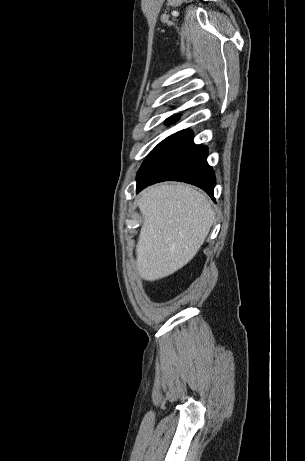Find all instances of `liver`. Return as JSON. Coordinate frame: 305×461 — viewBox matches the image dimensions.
Listing matches in <instances>:
<instances>
[{
  "instance_id": "liver-1",
  "label": "liver",
  "mask_w": 305,
  "mask_h": 461,
  "mask_svg": "<svg viewBox=\"0 0 305 461\" xmlns=\"http://www.w3.org/2000/svg\"><path fill=\"white\" fill-rule=\"evenodd\" d=\"M143 224L136 246L141 278L168 277L197 254L215 216L204 194L186 184H156L141 194Z\"/></svg>"
}]
</instances>
